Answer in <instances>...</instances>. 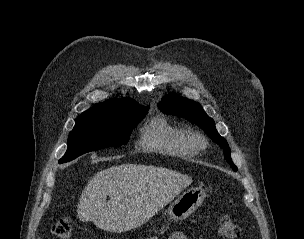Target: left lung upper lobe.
<instances>
[{"mask_svg": "<svg viewBox=\"0 0 304 239\" xmlns=\"http://www.w3.org/2000/svg\"><path fill=\"white\" fill-rule=\"evenodd\" d=\"M158 107L166 114L185 118L203 129L214 142L224 149L225 159L230 164L231 168L234 171H237V167L230 157V148L227 141L218 134L213 119L205 113L199 103L171 93L162 99L158 104Z\"/></svg>", "mask_w": 304, "mask_h": 239, "instance_id": "left-lung-upper-lobe-1", "label": "left lung upper lobe"}]
</instances>
